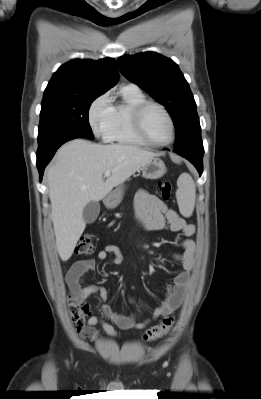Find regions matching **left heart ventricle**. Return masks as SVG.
<instances>
[{"mask_svg": "<svg viewBox=\"0 0 261 399\" xmlns=\"http://www.w3.org/2000/svg\"><path fill=\"white\" fill-rule=\"evenodd\" d=\"M144 127L148 136L156 142L170 139V124L164 113L155 107L149 108L144 115Z\"/></svg>", "mask_w": 261, "mask_h": 399, "instance_id": "b2bd125f", "label": "left heart ventricle"}]
</instances>
